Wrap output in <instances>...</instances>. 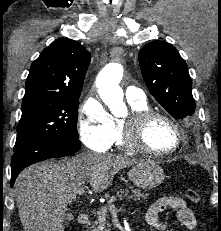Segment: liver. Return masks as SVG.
I'll return each mask as SVG.
<instances>
[{"instance_id": "obj_1", "label": "liver", "mask_w": 221, "mask_h": 231, "mask_svg": "<svg viewBox=\"0 0 221 231\" xmlns=\"http://www.w3.org/2000/svg\"><path fill=\"white\" fill-rule=\"evenodd\" d=\"M138 162L114 154H80L61 161H45L24 169L14 193L25 231H64L67 205L76 201L77 191L88 182L103 192L115 174Z\"/></svg>"}]
</instances>
